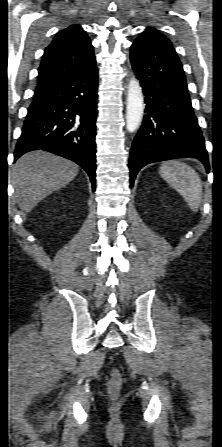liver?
<instances>
[{"instance_id": "6515ba94", "label": "liver", "mask_w": 222, "mask_h": 447, "mask_svg": "<svg viewBox=\"0 0 222 447\" xmlns=\"http://www.w3.org/2000/svg\"><path fill=\"white\" fill-rule=\"evenodd\" d=\"M78 165L44 151L26 153L12 168L14 197L24 213L67 185L78 174Z\"/></svg>"}]
</instances>
